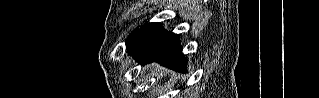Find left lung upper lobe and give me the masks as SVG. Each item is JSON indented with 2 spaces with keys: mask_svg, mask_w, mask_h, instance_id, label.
Returning a JSON list of instances; mask_svg holds the SVG:
<instances>
[{
  "mask_svg": "<svg viewBox=\"0 0 319 98\" xmlns=\"http://www.w3.org/2000/svg\"><path fill=\"white\" fill-rule=\"evenodd\" d=\"M137 30H138V29L134 30V31L129 35V37H128L127 40H126V43L132 38V36L136 33Z\"/></svg>",
  "mask_w": 319,
  "mask_h": 98,
  "instance_id": "5c2ea615",
  "label": "left lung upper lobe"
}]
</instances>
